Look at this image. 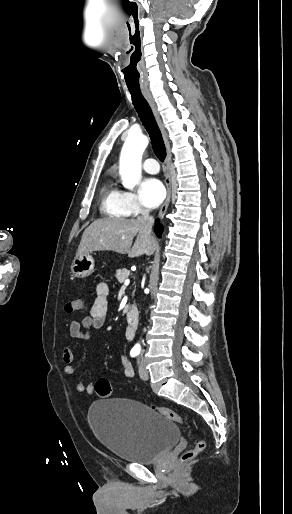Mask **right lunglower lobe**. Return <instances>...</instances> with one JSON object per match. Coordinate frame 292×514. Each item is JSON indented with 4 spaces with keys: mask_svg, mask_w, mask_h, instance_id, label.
Wrapping results in <instances>:
<instances>
[{
    "mask_svg": "<svg viewBox=\"0 0 292 514\" xmlns=\"http://www.w3.org/2000/svg\"><path fill=\"white\" fill-rule=\"evenodd\" d=\"M162 231H163V226L161 224H159L157 221V224L155 225V232L158 237H161Z\"/></svg>",
    "mask_w": 292,
    "mask_h": 514,
    "instance_id": "98d812e1",
    "label": "right lung lower lobe"
}]
</instances>
